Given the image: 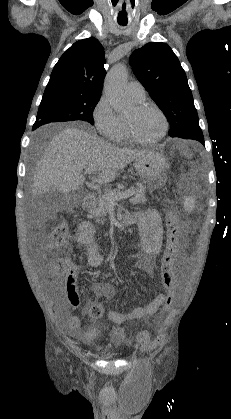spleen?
<instances>
[{
  "mask_svg": "<svg viewBox=\"0 0 231 419\" xmlns=\"http://www.w3.org/2000/svg\"><path fill=\"white\" fill-rule=\"evenodd\" d=\"M195 207V199L193 197H186L184 199V208L186 211H192Z\"/></svg>",
  "mask_w": 231,
  "mask_h": 419,
  "instance_id": "3e777b00",
  "label": "spleen"
}]
</instances>
